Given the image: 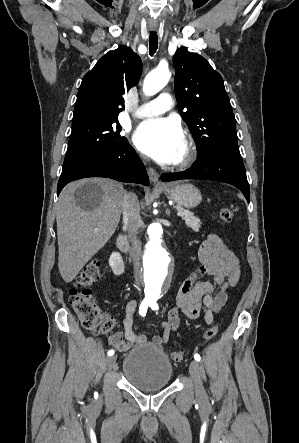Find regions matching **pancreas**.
<instances>
[{
    "instance_id": "pancreas-1",
    "label": "pancreas",
    "mask_w": 299,
    "mask_h": 443,
    "mask_svg": "<svg viewBox=\"0 0 299 443\" xmlns=\"http://www.w3.org/2000/svg\"><path fill=\"white\" fill-rule=\"evenodd\" d=\"M174 208L184 213L183 219L188 227L192 228L194 231H199L201 228V222L198 217H195L191 211L186 210L179 205L174 206Z\"/></svg>"
}]
</instances>
